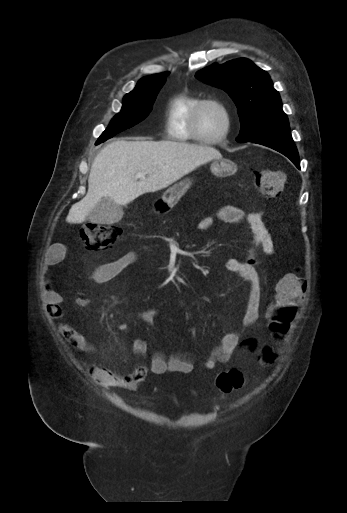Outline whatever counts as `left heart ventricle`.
Returning <instances> with one entry per match:
<instances>
[{
	"label": "left heart ventricle",
	"instance_id": "obj_1",
	"mask_svg": "<svg viewBox=\"0 0 347 513\" xmlns=\"http://www.w3.org/2000/svg\"><path fill=\"white\" fill-rule=\"evenodd\" d=\"M225 116L222 110L214 105H206L198 116L200 134L206 138H215L225 129Z\"/></svg>",
	"mask_w": 347,
	"mask_h": 513
}]
</instances>
